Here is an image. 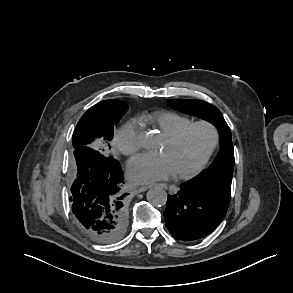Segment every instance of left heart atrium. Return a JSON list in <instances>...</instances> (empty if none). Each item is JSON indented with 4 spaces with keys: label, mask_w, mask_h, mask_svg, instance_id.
<instances>
[{
    "label": "left heart atrium",
    "mask_w": 293,
    "mask_h": 293,
    "mask_svg": "<svg viewBox=\"0 0 293 293\" xmlns=\"http://www.w3.org/2000/svg\"><path fill=\"white\" fill-rule=\"evenodd\" d=\"M127 172L133 183H154L172 177L176 172L166 155L141 154L128 162Z\"/></svg>",
    "instance_id": "1"
}]
</instances>
